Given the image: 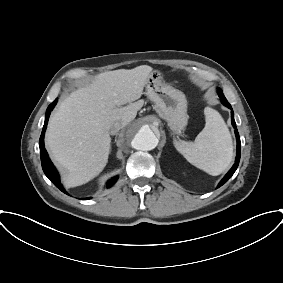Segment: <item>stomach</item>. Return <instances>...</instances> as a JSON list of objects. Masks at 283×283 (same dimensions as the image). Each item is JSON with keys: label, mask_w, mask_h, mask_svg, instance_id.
<instances>
[{"label": "stomach", "mask_w": 283, "mask_h": 283, "mask_svg": "<svg viewBox=\"0 0 283 283\" xmlns=\"http://www.w3.org/2000/svg\"><path fill=\"white\" fill-rule=\"evenodd\" d=\"M146 94L166 119L174 133L187 125V100L183 92L165 83L159 71H153L146 82Z\"/></svg>", "instance_id": "obj_1"}]
</instances>
